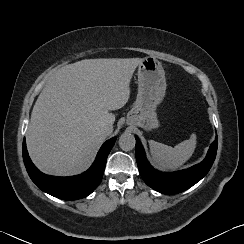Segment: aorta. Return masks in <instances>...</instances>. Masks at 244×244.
Segmentation results:
<instances>
[{"label": "aorta", "instance_id": "aorta-1", "mask_svg": "<svg viewBox=\"0 0 244 244\" xmlns=\"http://www.w3.org/2000/svg\"><path fill=\"white\" fill-rule=\"evenodd\" d=\"M135 137L131 133H123L119 137V146L123 151H131L135 148Z\"/></svg>", "mask_w": 244, "mask_h": 244}]
</instances>
